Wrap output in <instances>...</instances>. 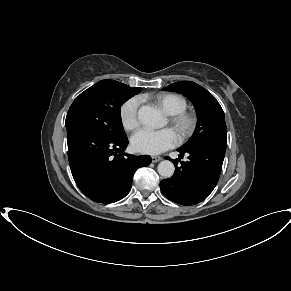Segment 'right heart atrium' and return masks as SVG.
<instances>
[{"instance_id":"d8ad5b80","label":"right heart atrium","mask_w":291,"mask_h":291,"mask_svg":"<svg viewBox=\"0 0 291 291\" xmlns=\"http://www.w3.org/2000/svg\"><path fill=\"white\" fill-rule=\"evenodd\" d=\"M139 107L140 99L138 97H131L120 106L119 118L125 130L132 131L137 128Z\"/></svg>"}]
</instances>
